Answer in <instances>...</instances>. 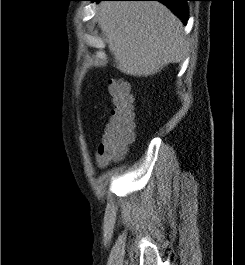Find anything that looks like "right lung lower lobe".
Listing matches in <instances>:
<instances>
[{
	"label": "right lung lower lobe",
	"instance_id": "1",
	"mask_svg": "<svg viewBox=\"0 0 245 265\" xmlns=\"http://www.w3.org/2000/svg\"><path fill=\"white\" fill-rule=\"evenodd\" d=\"M90 1H105V0H90ZM124 1H159L168 6L183 22L187 23L188 8L186 1L188 0H124Z\"/></svg>",
	"mask_w": 245,
	"mask_h": 265
}]
</instances>
